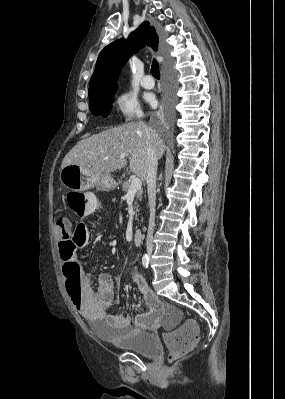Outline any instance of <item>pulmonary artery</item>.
Here are the masks:
<instances>
[{"label":"pulmonary artery","instance_id":"obj_1","mask_svg":"<svg viewBox=\"0 0 285 399\" xmlns=\"http://www.w3.org/2000/svg\"><path fill=\"white\" fill-rule=\"evenodd\" d=\"M155 82L149 73H146L141 81V86L145 89H152Z\"/></svg>","mask_w":285,"mask_h":399}]
</instances>
